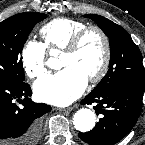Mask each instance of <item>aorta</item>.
I'll list each match as a JSON object with an SVG mask.
<instances>
[{"instance_id":"obj_1","label":"aorta","mask_w":145,"mask_h":145,"mask_svg":"<svg viewBox=\"0 0 145 145\" xmlns=\"http://www.w3.org/2000/svg\"><path fill=\"white\" fill-rule=\"evenodd\" d=\"M49 54L51 57L47 60V66L52 69H60V61L56 59L57 51L55 49H50ZM95 123V113L87 108L78 110L73 117L74 127L80 132H88L92 130Z\"/></svg>"}]
</instances>
